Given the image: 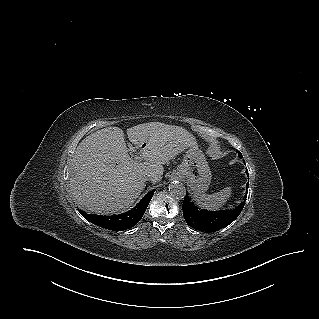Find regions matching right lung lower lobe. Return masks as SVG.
I'll return each instance as SVG.
<instances>
[{
    "mask_svg": "<svg viewBox=\"0 0 319 319\" xmlns=\"http://www.w3.org/2000/svg\"><path fill=\"white\" fill-rule=\"evenodd\" d=\"M154 192H149L142 200L130 211L114 216H102L87 214L84 211H80L82 216L93 224L100 227L112 230L123 231L135 226L142 218L149 201L151 200Z\"/></svg>",
    "mask_w": 319,
    "mask_h": 319,
    "instance_id": "1",
    "label": "right lung lower lobe"
}]
</instances>
